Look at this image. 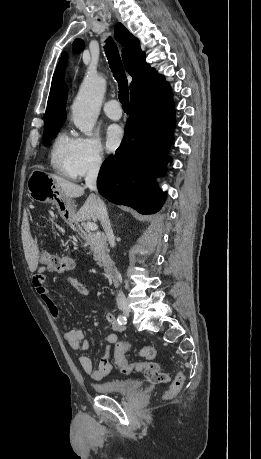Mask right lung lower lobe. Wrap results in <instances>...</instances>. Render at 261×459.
<instances>
[{
	"mask_svg": "<svg viewBox=\"0 0 261 459\" xmlns=\"http://www.w3.org/2000/svg\"><path fill=\"white\" fill-rule=\"evenodd\" d=\"M121 146L101 166L97 187L109 201L141 214L161 209L165 192L155 177L165 170L173 141L175 111L171 88L165 85L131 100Z\"/></svg>",
	"mask_w": 261,
	"mask_h": 459,
	"instance_id": "1",
	"label": "right lung lower lobe"
}]
</instances>
